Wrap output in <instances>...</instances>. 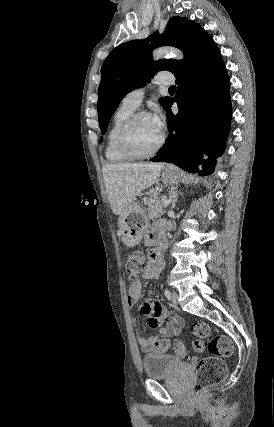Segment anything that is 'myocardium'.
Wrapping results in <instances>:
<instances>
[{"label": "myocardium", "instance_id": "obj_1", "mask_svg": "<svg viewBox=\"0 0 274 427\" xmlns=\"http://www.w3.org/2000/svg\"><path fill=\"white\" fill-rule=\"evenodd\" d=\"M149 116V113L146 111H138L134 113L121 127V130L118 135V146L120 150L130 159V160H146L155 157L164 147L166 143V135L162 134V137L156 146V148L148 154H138L136 153L130 144V135L133 127L139 119L142 117Z\"/></svg>", "mask_w": 274, "mask_h": 427}]
</instances>
